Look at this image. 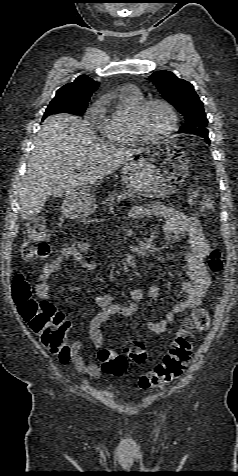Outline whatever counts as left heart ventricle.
Instances as JSON below:
<instances>
[{
  "label": "left heart ventricle",
  "mask_w": 238,
  "mask_h": 476,
  "mask_svg": "<svg viewBox=\"0 0 238 476\" xmlns=\"http://www.w3.org/2000/svg\"><path fill=\"white\" fill-rule=\"evenodd\" d=\"M170 125V114L161 104L150 105L143 114L142 126L150 135L162 134Z\"/></svg>",
  "instance_id": "obj_1"
}]
</instances>
